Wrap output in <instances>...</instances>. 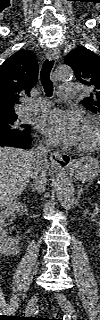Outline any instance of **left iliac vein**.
I'll return each instance as SVG.
<instances>
[{"label":"left iliac vein","mask_w":100,"mask_h":320,"mask_svg":"<svg viewBox=\"0 0 100 320\" xmlns=\"http://www.w3.org/2000/svg\"><path fill=\"white\" fill-rule=\"evenodd\" d=\"M56 300L58 302V304L60 305V307L66 312L68 313L73 320H78V313L75 310L74 306L72 305L71 301L69 300V298L62 294V293H58L56 294Z\"/></svg>","instance_id":"4c4485c4"}]
</instances>
